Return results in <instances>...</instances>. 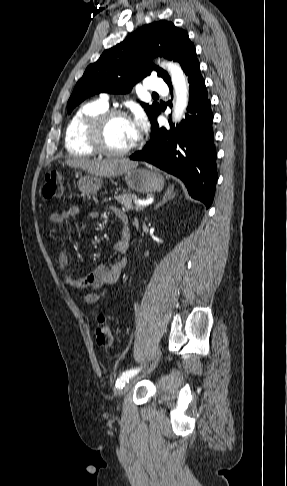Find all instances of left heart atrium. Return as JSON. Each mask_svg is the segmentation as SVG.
<instances>
[{
    "mask_svg": "<svg viewBox=\"0 0 287 486\" xmlns=\"http://www.w3.org/2000/svg\"><path fill=\"white\" fill-rule=\"evenodd\" d=\"M133 133L135 141L139 138L141 130L143 128V120L141 117H138L135 121H132Z\"/></svg>",
    "mask_w": 287,
    "mask_h": 486,
    "instance_id": "obj_1",
    "label": "left heart atrium"
}]
</instances>
